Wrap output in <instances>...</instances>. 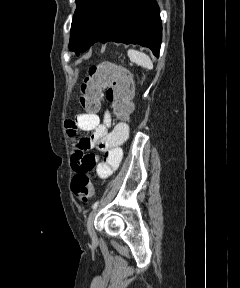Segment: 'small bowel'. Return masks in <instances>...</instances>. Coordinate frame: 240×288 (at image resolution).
Returning <instances> with one entry per match:
<instances>
[{"mask_svg":"<svg viewBox=\"0 0 240 288\" xmlns=\"http://www.w3.org/2000/svg\"><path fill=\"white\" fill-rule=\"evenodd\" d=\"M112 119L105 111L101 121L97 114H78L65 122L70 137L71 167L76 174H88L94 170L98 178L104 179L116 171L122 161L121 145L129 136V126L124 122L111 130ZM81 131L91 132L88 137H79ZM96 148L103 153V159L88 151Z\"/></svg>","mask_w":240,"mask_h":288,"instance_id":"obj_1","label":"small bowel"}]
</instances>
